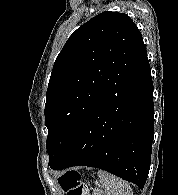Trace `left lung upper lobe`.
Here are the masks:
<instances>
[{"mask_svg": "<svg viewBox=\"0 0 178 195\" xmlns=\"http://www.w3.org/2000/svg\"><path fill=\"white\" fill-rule=\"evenodd\" d=\"M146 60L142 35L126 14L105 11L72 33L56 58L46 93L51 168L97 107Z\"/></svg>", "mask_w": 178, "mask_h": 195, "instance_id": "obj_1", "label": "left lung upper lobe"}]
</instances>
